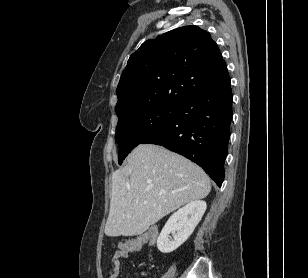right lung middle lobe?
Listing matches in <instances>:
<instances>
[{"mask_svg": "<svg viewBox=\"0 0 308 278\" xmlns=\"http://www.w3.org/2000/svg\"><path fill=\"white\" fill-rule=\"evenodd\" d=\"M177 114L178 106H154L119 120L116 128V141L120 144L119 164L138 144L172 122Z\"/></svg>", "mask_w": 308, "mask_h": 278, "instance_id": "obj_1", "label": "right lung middle lobe"}]
</instances>
